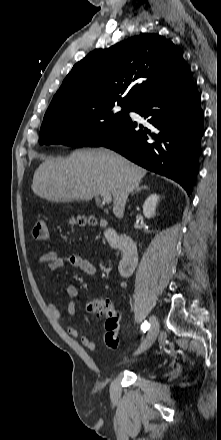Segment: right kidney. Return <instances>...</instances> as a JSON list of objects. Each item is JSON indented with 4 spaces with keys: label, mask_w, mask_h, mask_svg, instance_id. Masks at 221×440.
<instances>
[{
    "label": "right kidney",
    "mask_w": 221,
    "mask_h": 440,
    "mask_svg": "<svg viewBox=\"0 0 221 440\" xmlns=\"http://www.w3.org/2000/svg\"><path fill=\"white\" fill-rule=\"evenodd\" d=\"M159 200L157 194H151L143 204V214L146 218H152L155 215L156 206Z\"/></svg>",
    "instance_id": "right-kidney-1"
}]
</instances>
